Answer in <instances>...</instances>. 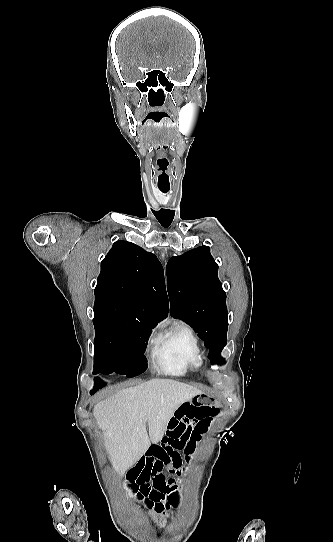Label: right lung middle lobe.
I'll return each mask as SVG.
<instances>
[{"label":"right lung middle lobe","instance_id":"1","mask_svg":"<svg viewBox=\"0 0 333 542\" xmlns=\"http://www.w3.org/2000/svg\"><path fill=\"white\" fill-rule=\"evenodd\" d=\"M94 371L134 377L147 368L143 355L155 327L146 318L112 310H94Z\"/></svg>","mask_w":333,"mask_h":542}]
</instances>
